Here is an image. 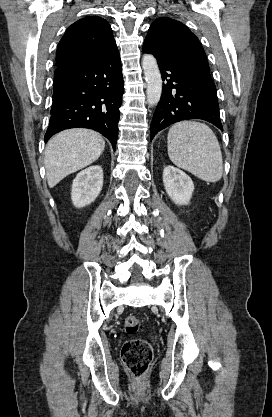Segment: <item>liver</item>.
Here are the masks:
<instances>
[{
	"instance_id": "1",
	"label": "liver",
	"mask_w": 272,
	"mask_h": 417,
	"mask_svg": "<svg viewBox=\"0 0 272 417\" xmlns=\"http://www.w3.org/2000/svg\"><path fill=\"white\" fill-rule=\"evenodd\" d=\"M104 147L102 136L90 129H69L52 137L44 157L49 187L53 188L66 176L95 162Z\"/></svg>"
}]
</instances>
